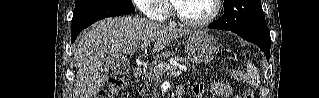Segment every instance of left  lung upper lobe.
Here are the masks:
<instances>
[{
	"instance_id": "left-lung-upper-lobe-1",
	"label": "left lung upper lobe",
	"mask_w": 319,
	"mask_h": 98,
	"mask_svg": "<svg viewBox=\"0 0 319 98\" xmlns=\"http://www.w3.org/2000/svg\"><path fill=\"white\" fill-rule=\"evenodd\" d=\"M224 1V14L212 25L230 31L269 33L260 0Z\"/></svg>"
}]
</instances>
